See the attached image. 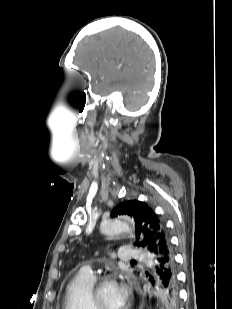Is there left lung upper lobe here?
I'll return each mask as SVG.
<instances>
[{"mask_svg":"<svg viewBox=\"0 0 232 309\" xmlns=\"http://www.w3.org/2000/svg\"><path fill=\"white\" fill-rule=\"evenodd\" d=\"M128 215L135 221L137 236L134 245L143 248L153 257L162 239H169L163 222L144 202L130 200L118 205L111 217Z\"/></svg>","mask_w":232,"mask_h":309,"instance_id":"5c2ea615","label":"left lung upper lobe"}]
</instances>
